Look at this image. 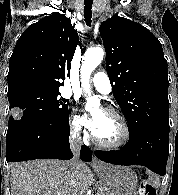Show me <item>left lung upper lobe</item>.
Segmentation results:
<instances>
[{"instance_id": "5c2ea615", "label": "left lung upper lobe", "mask_w": 178, "mask_h": 195, "mask_svg": "<svg viewBox=\"0 0 178 195\" xmlns=\"http://www.w3.org/2000/svg\"><path fill=\"white\" fill-rule=\"evenodd\" d=\"M113 95L129 137L169 127L168 70L161 43L144 26L114 15L100 26Z\"/></svg>"}]
</instances>
